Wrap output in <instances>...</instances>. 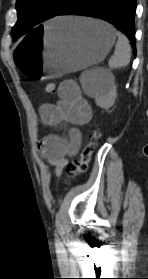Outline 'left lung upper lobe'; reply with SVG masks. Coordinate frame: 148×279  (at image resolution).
<instances>
[{
    "label": "left lung upper lobe",
    "mask_w": 148,
    "mask_h": 279,
    "mask_svg": "<svg viewBox=\"0 0 148 279\" xmlns=\"http://www.w3.org/2000/svg\"><path fill=\"white\" fill-rule=\"evenodd\" d=\"M72 0H17L18 21L12 28V37L16 41L39 23L56 16Z\"/></svg>",
    "instance_id": "5c2ea615"
}]
</instances>
